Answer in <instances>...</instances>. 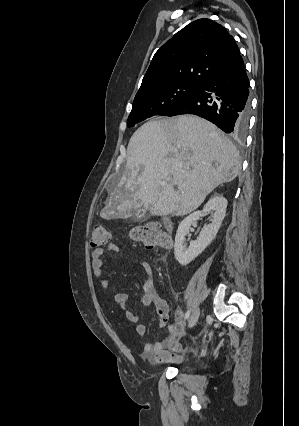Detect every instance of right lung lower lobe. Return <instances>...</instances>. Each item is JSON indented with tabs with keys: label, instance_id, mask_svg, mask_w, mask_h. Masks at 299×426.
Returning a JSON list of instances; mask_svg holds the SVG:
<instances>
[{
	"label": "right lung lower lobe",
	"instance_id": "right-lung-lower-lobe-1",
	"mask_svg": "<svg viewBox=\"0 0 299 426\" xmlns=\"http://www.w3.org/2000/svg\"><path fill=\"white\" fill-rule=\"evenodd\" d=\"M249 113V80L240 55L165 116L194 114L211 121L226 133L242 136Z\"/></svg>",
	"mask_w": 299,
	"mask_h": 426
}]
</instances>
